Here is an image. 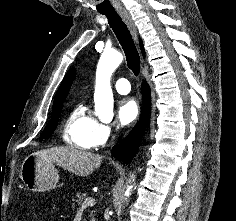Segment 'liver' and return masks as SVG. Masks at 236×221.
<instances>
[{"label":"liver","mask_w":236,"mask_h":221,"mask_svg":"<svg viewBox=\"0 0 236 221\" xmlns=\"http://www.w3.org/2000/svg\"><path fill=\"white\" fill-rule=\"evenodd\" d=\"M37 155L56 163L64 170L78 176H88L97 169L102 161V156L72 146L52 147L41 150Z\"/></svg>","instance_id":"6515ba94"}]
</instances>
